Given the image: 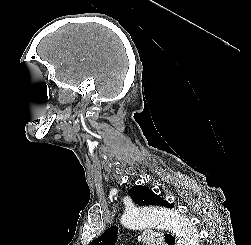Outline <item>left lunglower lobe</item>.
Instances as JSON below:
<instances>
[{"label":"left lung lower lobe","mask_w":251,"mask_h":245,"mask_svg":"<svg viewBox=\"0 0 251 245\" xmlns=\"http://www.w3.org/2000/svg\"><path fill=\"white\" fill-rule=\"evenodd\" d=\"M165 241L168 245H174L175 244V238L171 234H165Z\"/></svg>","instance_id":"1"}]
</instances>
